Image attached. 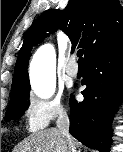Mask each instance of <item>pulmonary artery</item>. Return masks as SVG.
Here are the masks:
<instances>
[{"label": "pulmonary artery", "mask_w": 123, "mask_h": 152, "mask_svg": "<svg viewBox=\"0 0 123 152\" xmlns=\"http://www.w3.org/2000/svg\"><path fill=\"white\" fill-rule=\"evenodd\" d=\"M78 70L79 68L78 64L76 63L75 57H72L67 64L65 71L70 77H76L78 74Z\"/></svg>", "instance_id": "e3ab8cb5"}]
</instances>
